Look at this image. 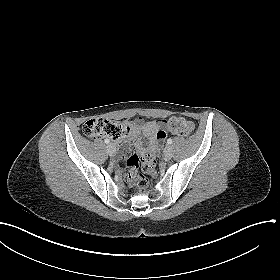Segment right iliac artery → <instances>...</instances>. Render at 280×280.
<instances>
[{
  "label": "right iliac artery",
  "mask_w": 280,
  "mask_h": 280,
  "mask_svg": "<svg viewBox=\"0 0 280 280\" xmlns=\"http://www.w3.org/2000/svg\"><path fill=\"white\" fill-rule=\"evenodd\" d=\"M104 141H105L106 144H109V143H110V140H109V139H105Z\"/></svg>",
  "instance_id": "82829eb1"
}]
</instances>
